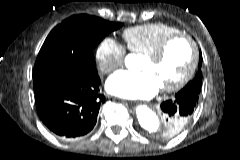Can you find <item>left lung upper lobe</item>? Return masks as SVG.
Masks as SVG:
<instances>
[{
    "instance_id": "5c2ea615",
    "label": "left lung upper lobe",
    "mask_w": 240,
    "mask_h": 160,
    "mask_svg": "<svg viewBox=\"0 0 240 160\" xmlns=\"http://www.w3.org/2000/svg\"><path fill=\"white\" fill-rule=\"evenodd\" d=\"M201 65H202V57H199V64H198V72L195 75V78L190 81L181 91H188V92H192L196 95H199L200 90H201V84H202V72H201ZM190 119V117H186V118H179L177 119L175 122L180 126H184L188 120ZM182 129L178 130L177 132H175V134H171L168 129H167V123H165L164 128L158 133V137L162 138V139H168L171 138L173 136H175L176 134H178Z\"/></svg>"
}]
</instances>
